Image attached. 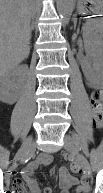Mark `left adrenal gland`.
Listing matches in <instances>:
<instances>
[{"mask_svg":"<svg viewBox=\"0 0 103 193\" xmlns=\"http://www.w3.org/2000/svg\"><path fill=\"white\" fill-rule=\"evenodd\" d=\"M74 30L76 29V25H77V19H74Z\"/></svg>","mask_w":103,"mask_h":193,"instance_id":"left-adrenal-gland-1","label":"left adrenal gland"}]
</instances>
